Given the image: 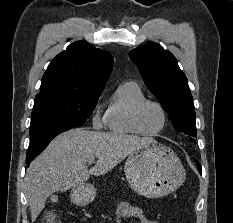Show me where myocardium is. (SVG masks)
Instances as JSON below:
<instances>
[{"instance_id":"myocardium-1","label":"myocardium","mask_w":233,"mask_h":223,"mask_svg":"<svg viewBox=\"0 0 233 223\" xmlns=\"http://www.w3.org/2000/svg\"><path fill=\"white\" fill-rule=\"evenodd\" d=\"M148 104H153V105L157 106L162 111V113L164 115V126L160 131L155 132V133L146 132L141 125V113H142L144 107ZM169 122H170V119H169V114H168L167 109L160 102H158L156 100H152V99L145 98V99L139 101L134 106L132 113H131V123H132L133 128L136 130V132L138 134L146 136V137H154V136H159V135L163 134L167 130V128L169 126Z\"/></svg>"}]
</instances>
